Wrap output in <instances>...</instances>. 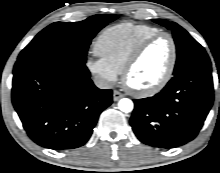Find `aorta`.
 I'll return each mask as SVG.
<instances>
[{
    "mask_svg": "<svg viewBox=\"0 0 220 173\" xmlns=\"http://www.w3.org/2000/svg\"><path fill=\"white\" fill-rule=\"evenodd\" d=\"M133 102L128 98H122L118 102V108L125 113H129L133 110Z\"/></svg>",
    "mask_w": 220,
    "mask_h": 173,
    "instance_id": "obj_1",
    "label": "aorta"
}]
</instances>
